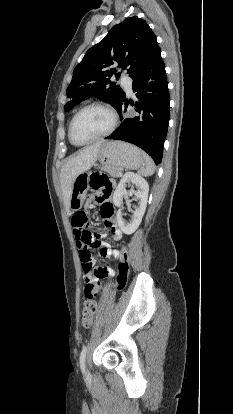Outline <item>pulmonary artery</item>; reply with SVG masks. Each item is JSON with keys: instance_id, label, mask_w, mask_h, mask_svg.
Here are the masks:
<instances>
[{"instance_id": "obj_1", "label": "pulmonary artery", "mask_w": 233, "mask_h": 414, "mask_svg": "<svg viewBox=\"0 0 233 414\" xmlns=\"http://www.w3.org/2000/svg\"><path fill=\"white\" fill-rule=\"evenodd\" d=\"M122 85L124 86V88L126 89V91L131 94L132 93V83H131V79L127 76H122Z\"/></svg>"}]
</instances>
